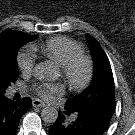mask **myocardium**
Masks as SVG:
<instances>
[{
    "mask_svg": "<svg viewBox=\"0 0 135 135\" xmlns=\"http://www.w3.org/2000/svg\"><path fill=\"white\" fill-rule=\"evenodd\" d=\"M80 65L84 68V74L81 79H77L75 72ZM60 67L61 76L70 89L74 91H83L91 84L94 76V65L88 55L84 53L78 54Z\"/></svg>",
    "mask_w": 135,
    "mask_h": 135,
    "instance_id": "f54148a6",
    "label": "myocardium"
}]
</instances>
